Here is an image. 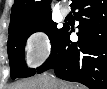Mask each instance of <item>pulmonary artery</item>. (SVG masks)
I'll return each instance as SVG.
<instances>
[{
  "instance_id": "e3ab8cb5",
  "label": "pulmonary artery",
  "mask_w": 107,
  "mask_h": 89,
  "mask_svg": "<svg viewBox=\"0 0 107 89\" xmlns=\"http://www.w3.org/2000/svg\"><path fill=\"white\" fill-rule=\"evenodd\" d=\"M60 12H61V15H62L63 17H66V16H68V14H69V9H68L67 7H62V8L60 9Z\"/></svg>"
}]
</instances>
